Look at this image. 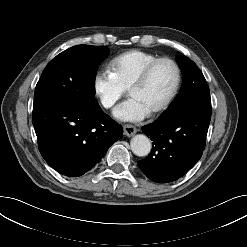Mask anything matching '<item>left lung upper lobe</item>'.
I'll return each instance as SVG.
<instances>
[{
	"instance_id": "5c2ea615",
	"label": "left lung upper lobe",
	"mask_w": 247,
	"mask_h": 247,
	"mask_svg": "<svg viewBox=\"0 0 247 247\" xmlns=\"http://www.w3.org/2000/svg\"><path fill=\"white\" fill-rule=\"evenodd\" d=\"M177 61L184 75V83L181 92L170 106V110L183 106L199 93L209 92V87L202 72L192 60L180 55L177 57Z\"/></svg>"
}]
</instances>
